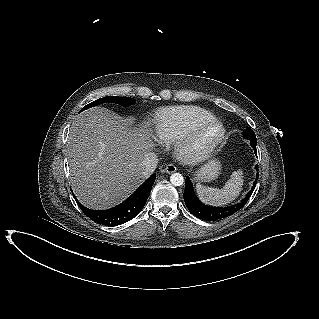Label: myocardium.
Returning <instances> with one entry per match:
<instances>
[{"label":"myocardium","mask_w":319,"mask_h":319,"mask_svg":"<svg viewBox=\"0 0 319 319\" xmlns=\"http://www.w3.org/2000/svg\"><path fill=\"white\" fill-rule=\"evenodd\" d=\"M210 131L214 133L209 135ZM225 135L224 125L216 118L201 122L178 140L177 156L190 164L206 161L223 142Z\"/></svg>","instance_id":"obj_1"}]
</instances>
